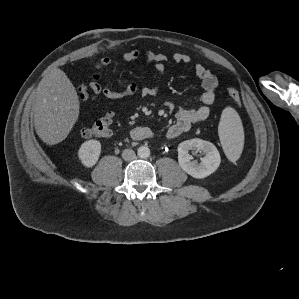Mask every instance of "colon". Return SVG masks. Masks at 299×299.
<instances>
[{"label": "colon", "mask_w": 299, "mask_h": 299, "mask_svg": "<svg viewBox=\"0 0 299 299\" xmlns=\"http://www.w3.org/2000/svg\"><path fill=\"white\" fill-rule=\"evenodd\" d=\"M80 95L83 99L91 98V93L87 86L80 85L79 87ZM228 94L231 100L236 104H240V94L236 87L230 86L228 88ZM113 122L112 113H107L103 117L96 120L89 127L82 128L80 134L84 138L90 137H107L111 134V127Z\"/></svg>", "instance_id": "colon-1"}]
</instances>
